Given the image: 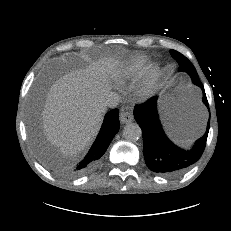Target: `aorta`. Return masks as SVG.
Instances as JSON below:
<instances>
[{"label":"aorta","mask_w":231,"mask_h":231,"mask_svg":"<svg viewBox=\"0 0 231 231\" xmlns=\"http://www.w3.org/2000/svg\"><path fill=\"white\" fill-rule=\"evenodd\" d=\"M123 136L129 141H137L142 136V130L137 123H129L123 129Z\"/></svg>","instance_id":"aorta-1"}]
</instances>
